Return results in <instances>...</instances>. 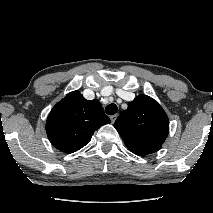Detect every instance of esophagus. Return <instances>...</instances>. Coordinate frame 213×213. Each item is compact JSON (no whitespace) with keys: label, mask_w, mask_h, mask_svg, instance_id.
I'll use <instances>...</instances> for the list:
<instances>
[{"label":"esophagus","mask_w":213,"mask_h":213,"mask_svg":"<svg viewBox=\"0 0 213 213\" xmlns=\"http://www.w3.org/2000/svg\"><path fill=\"white\" fill-rule=\"evenodd\" d=\"M116 118H117V115H116V114H115V115L110 116L111 123H114V122H115V120H116Z\"/></svg>","instance_id":"obj_1"}]
</instances>
